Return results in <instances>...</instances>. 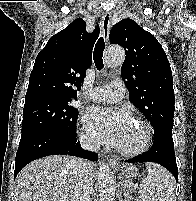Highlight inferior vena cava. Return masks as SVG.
Masks as SVG:
<instances>
[{
    "instance_id": "obj_1",
    "label": "inferior vena cava",
    "mask_w": 196,
    "mask_h": 201,
    "mask_svg": "<svg viewBox=\"0 0 196 201\" xmlns=\"http://www.w3.org/2000/svg\"><path fill=\"white\" fill-rule=\"evenodd\" d=\"M80 143L84 150L92 152H96L99 150V144L93 142L88 138H81ZM74 164V201H90L92 183L88 176L89 162L83 159H78L74 162Z\"/></svg>"
}]
</instances>
